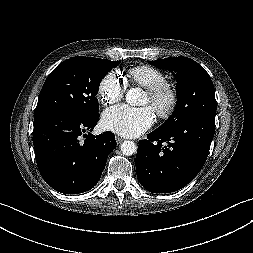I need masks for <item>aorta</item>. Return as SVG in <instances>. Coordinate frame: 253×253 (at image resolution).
Wrapping results in <instances>:
<instances>
[{
    "label": "aorta",
    "instance_id": "obj_1",
    "mask_svg": "<svg viewBox=\"0 0 253 253\" xmlns=\"http://www.w3.org/2000/svg\"><path fill=\"white\" fill-rule=\"evenodd\" d=\"M144 93L140 88H131L126 93V102L131 106L142 104ZM121 152L125 156H131L137 151V146L133 141L126 140L121 146Z\"/></svg>",
    "mask_w": 253,
    "mask_h": 253
}]
</instances>
